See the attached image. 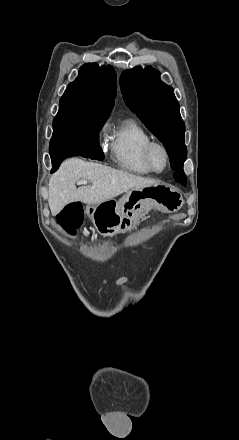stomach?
<instances>
[{
  "mask_svg": "<svg viewBox=\"0 0 239 440\" xmlns=\"http://www.w3.org/2000/svg\"><path fill=\"white\" fill-rule=\"evenodd\" d=\"M184 200L173 188L155 184L148 188H132L120 200H107L101 204H88L85 214L90 218L100 236H116L134 230L140 218L146 216L153 206L160 212L171 214L182 208Z\"/></svg>",
  "mask_w": 239,
  "mask_h": 440,
  "instance_id": "1",
  "label": "stomach"
}]
</instances>
